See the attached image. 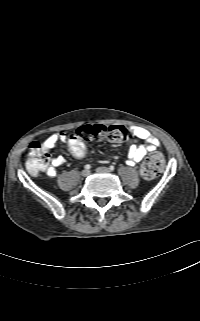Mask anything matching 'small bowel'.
Instances as JSON below:
<instances>
[{
	"mask_svg": "<svg viewBox=\"0 0 200 321\" xmlns=\"http://www.w3.org/2000/svg\"><path fill=\"white\" fill-rule=\"evenodd\" d=\"M130 133L134 138L144 141L142 145L133 143L128 148L126 162L128 165H135L139 163L147 153L155 151L159 147L160 141L143 127L133 126L130 129ZM67 137L69 136L63 132L53 133L45 139L42 145L46 151H49L54 148L58 142H64ZM64 162L65 158L63 156H56L51 159L50 165L46 166L43 170L47 176L55 177L57 174L56 169L64 164Z\"/></svg>",
	"mask_w": 200,
	"mask_h": 321,
	"instance_id": "small-bowel-1",
	"label": "small bowel"
}]
</instances>
